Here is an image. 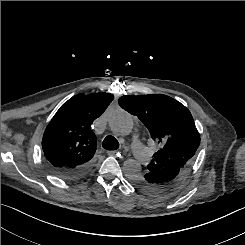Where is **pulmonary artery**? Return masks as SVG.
<instances>
[{
	"instance_id": "obj_1",
	"label": "pulmonary artery",
	"mask_w": 245,
	"mask_h": 245,
	"mask_svg": "<svg viewBox=\"0 0 245 245\" xmlns=\"http://www.w3.org/2000/svg\"><path fill=\"white\" fill-rule=\"evenodd\" d=\"M133 155L137 162L142 165H147L150 161L149 150L147 147L142 145L137 137L133 139Z\"/></svg>"
}]
</instances>
